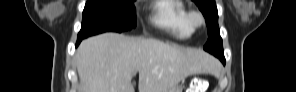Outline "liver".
<instances>
[{
	"label": "liver",
	"mask_w": 296,
	"mask_h": 92,
	"mask_svg": "<svg viewBox=\"0 0 296 92\" xmlns=\"http://www.w3.org/2000/svg\"><path fill=\"white\" fill-rule=\"evenodd\" d=\"M80 92H166L193 74L214 73L215 60L201 49L159 39L104 33L85 39L75 56Z\"/></svg>",
	"instance_id": "liver-1"
}]
</instances>
